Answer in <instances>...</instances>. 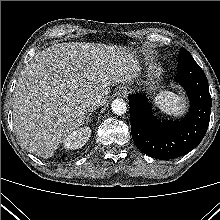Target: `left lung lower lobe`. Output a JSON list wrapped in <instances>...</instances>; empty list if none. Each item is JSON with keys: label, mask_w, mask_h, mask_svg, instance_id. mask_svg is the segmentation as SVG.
<instances>
[{"label": "left lung lower lobe", "mask_w": 220, "mask_h": 220, "mask_svg": "<svg viewBox=\"0 0 220 220\" xmlns=\"http://www.w3.org/2000/svg\"><path fill=\"white\" fill-rule=\"evenodd\" d=\"M177 82L184 87L190 110L182 121L161 123L152 115L145 97H129L131 133L140 151L156 159H174L194 149L203 139L210 120L208 80L191 54L181 48Z\"/></svg>", "instance_id": "left-lung-lower-lobe-1"}]
</instances>
